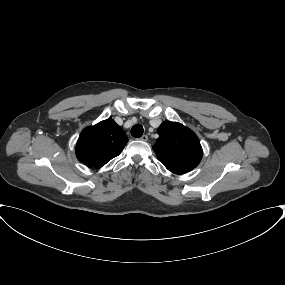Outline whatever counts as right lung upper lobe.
Instances as JSON below:
<instances>
[{"mask_svg": "<svg viewBox=\"0 0 285 285\" xmlns=\"http://www.w3.org/2000/svg\"><path fill=\"white\" fill-rule=\"evenodd\" d=\"M127 142L123 129L108 118L81 132L76 144V156L88 167L99 169L118 156Z\"/></svg>", "mask_w": 285, "mask_h": 285, "instance_id": "cb5924a9", "label": "right lung upper lobe"}]
</instances>
